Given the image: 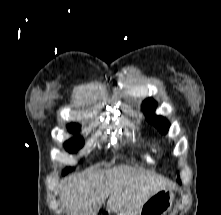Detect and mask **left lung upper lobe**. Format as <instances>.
<instances>
[{
	"instance_id": "left-lung-upper-lobe-1",
	"label": "left lung upper lobe",
	"mask_w": 221,
	"mask_h": 215,
	"mask_svg": "<svg viewBox=\"0 0 221 215\" xmlns=\"http://www.w3.org/2000/svg\"><path fill=\"white\" fill-rule=\"evenodd\" d=\"M156 105V102L149 98L143 102L142 109L146 113L147 121L153 124L162 134H166L170 126L169 122L166 120V118L153 114Z\"/></svg>"
}]
</instances>
